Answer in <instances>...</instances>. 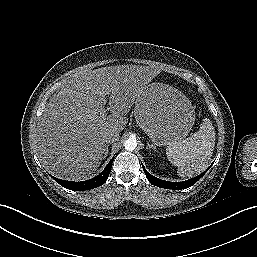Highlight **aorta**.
<instances>
[{
    "label": "aorta",
    "instance_id": "1",
    "mask_svg": "<svg viewBox=\"0 0 257 257\" xmlns=\"http://www.w3.org/2000/svg\"><path fill=\"white\" fill-rule=\"evenodd\" d=\"M124 147L127 151H133L137 147L136 138L130 137L124 142Z\"/></svg>",
    "mask_w": 257,
    "mask_h": 257
}]
</instances>
